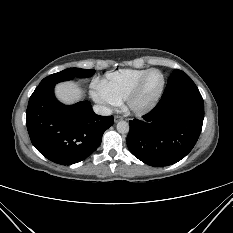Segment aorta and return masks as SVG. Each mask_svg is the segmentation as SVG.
Masks as SVG:
<instances>
[{"label": "aorta", "mask_w": 233, "mask_h": 233, "mask_svg": "<svg viewBox=\"0 0 233 233\" xmlns=\"http://www.w3.org/2000/svg\"><path fill=\"white\" fill-rule=\"evenodd\" d=\"M117 131L121 134H126L129 132V124L126 121H119L117 123Z\"/></svg>", "instance_id": "762f6f07"}]
</instances>
